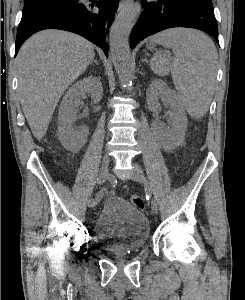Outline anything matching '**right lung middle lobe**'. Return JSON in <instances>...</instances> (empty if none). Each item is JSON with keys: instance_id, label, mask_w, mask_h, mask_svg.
Segmentation results:
<instances>
[{"instance_id": "right-lung-middle-lobe-1", "label": "right lung middle lobe", "mask_w": 245, "mask_h": 300, "mask_svg": "<svg viewBox=\"0 0 245 300\" xmlns=\"http://www.w3.org/2000/svg\"><path fill=\"white\" fill-rule=\"evenodd\" d=\"M78 0H35L30 2H24V8L22 16L29 15L31 13L48 9L61 4L76 2Z\"/></svg>"}]
</instances>
